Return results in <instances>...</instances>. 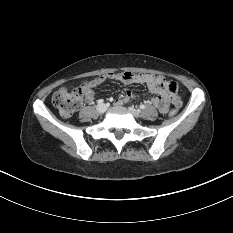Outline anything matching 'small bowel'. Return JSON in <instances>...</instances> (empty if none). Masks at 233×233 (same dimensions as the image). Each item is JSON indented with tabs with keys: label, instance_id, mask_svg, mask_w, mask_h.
Instances as JSON below:
<instances>
[{
	"label": "small bowel",
	"instance_id": "obj_1",
	"mask_svg": "<svg viewBox=\"0 0 233 233\" xmlns=\"http://www.w3.org/2000/svg\"><path fill=\"white\" fill-rule=\"evenodd\" d=\"M107 79H112L124 84H145L149 91L155 95L152 104L161 112L167 113L172 103L175 107H180L182 102L179 93V85L175 80H167L163 76L152 74H141L131 72H110L100 75L86 84L85 100L92 103L95 99L94 88L100 86ZM132 90L126 89L124 95L116 100L117 105H124L135 98Z\"/></svg>",
	"mask_w": 233,
	"mask_h": 233
}]
</instances>
